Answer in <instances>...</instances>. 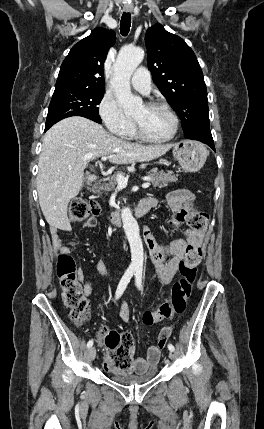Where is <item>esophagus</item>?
Returning <instances> with one entry per match:
<instances>
[{"instance_id":"obj_1","label":"esophagus","mask_w":264,"mask_h":429,"mask_svg":"<svg viewBox=\"0 0 264 429\" xmlns=\"http://www.w3.org/2000/svg\"><path fill=\"white\" fill-rule=\"evenodd\" d=\"M123 9L125 12H132L133 6L131 4H126L124 5Z\"/></svg>"}]
</instances>
